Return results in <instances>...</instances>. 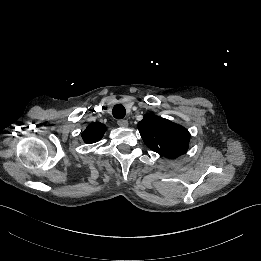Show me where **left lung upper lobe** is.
I'll use <instances>...</instances> for the list:
<instances>
[{
	"label": "left lung upper lobe",
	"mask_w": 261,
	"mask_h": 261,
	"mask_svg": "<svg viewBox=\"0 0 261 261\" xmlns=\"http://www.w3.org/2000/svg\"><path fill=\"white\" fill-rule=\"evenodd\" d=\"M138 129L148 148L167 158H176L188 149L186 128L154 114H146Z\"/></svg>",
	"instance_id": "5c2ea615"
}]
</instances>
